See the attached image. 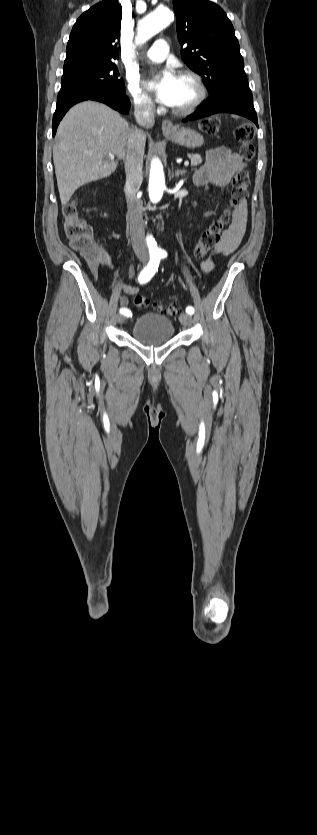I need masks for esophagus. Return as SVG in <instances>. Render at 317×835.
<instances>
[{"label": "esophagus", "instance_id": "obj_1", "mask_svg": "<svg viewBox=\"0 0 317 835\" xmlns=\"http://www.w3.org/2000/svg\"><path fill=\"white\" fill-rule=\"evenodd\" d=\"M162 130L165 133H170V132H174L176 130V128L170 120L165 119V120L162 121Z\"/></svg>", "mask_w": 317, "mask_h": 835}]
</instances>
